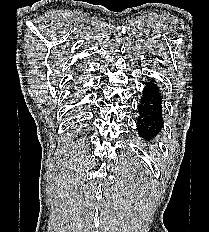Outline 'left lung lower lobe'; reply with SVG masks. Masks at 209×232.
<instances>
[{
    "label": "left lung lower lobe",
    "instance_id": "left-lung-lower-lobe-1",
    "mask_svg": "<svg viewBox=\"0 0 209 232\" xmlns=\"http://www.w3.org/2000/svg\"><path fill=\"white\" fill-rule=\"evenodd\" d=\"M162 96L157 82L149 79L138 105L137 130L145 142L152 144L163 128Z\"/></svg>",
    "mask_w": 209,
    "mask_h": 232
}]
</instances>
